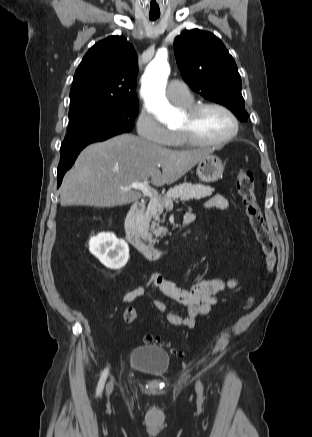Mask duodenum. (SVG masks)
<instances>
[{"label":"duodenum","mask_w":312,"mask_h":437,"mask_svg":"<svg viewBox=\"0 0 312 437\" xmlns=\"http://www.w3.org/2000/svg\"><path fill=\"white\" fill-rule=\"evenodd\" d=\"M145 208V201H137L131 206L123 223L124 238L130 246L142 254L146 259L150 261H160L167 256L168 251L143 240L137 230L138 222ZM190 223L191 220L189 218L186 217L183 219L184 225Z\"/></svg>","instance_id":"410a0bca"}]
</instances>
